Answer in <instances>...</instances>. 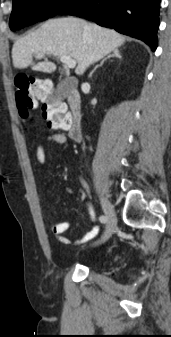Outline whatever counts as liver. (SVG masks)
I'll list each match as a JSON object with an SVG mask.
<instances>
[{
	"label": "liver",
	"instance_id": "1",
	"mask_svg": "<svg viewBox=\"0 0 171 337\" xmlns=\"http://www.w3.org/2000/svg\"><path fill=\"white\" fill-rule=\"evenodd\" d=\"M125 43V38L114 30L86 21L66 17L50 19L37 30L15 41L12 48L13 65L24 69L52 73L56 65L50 61L33 64V56L46 53L53 56H69L77 67L75 73L82 75L93 63Z\"/></svg>",
	"mask_w": 171,
	"mask_h": 337
}]
</instances>
